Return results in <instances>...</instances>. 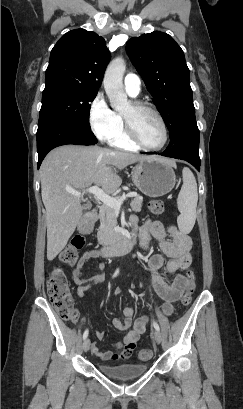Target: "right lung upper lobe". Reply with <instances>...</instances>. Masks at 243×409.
<instances>
[{
    "label": "right lung upper lobe",
    "mask_w": 243,
    "mask_h": 409,
    "mask_svg": "<svg viewBox=\"0 0 243 409\" xmlns=\"http://www.w3.org/2000/svg\"><path fill=\"white\" fill-rule=\"evenodd\" d=\"M109 60L110 52L101 36L75 29L53 47L45 81H63L98 91Z\"/></svg>",
    "instance_id": "obj_1"
}]
</instances>
